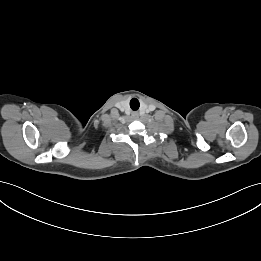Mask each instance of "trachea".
Here are the masks:
<instances>
[{
	"label": "trachea",
	"mask_w": 261,
	"mask_h": 261,
	"mask_svg": "<svg viewBox=\"0 0 261 261\" xmlns=\"http://www.w3.org/2000/svg\"><path fill=\"white\" fill-rule=\"evenodd\" d=\"M139 106H140L139 101L136 98L131 99L130 107L132 110H138Z\"/></svg>",
	"instance_id": "obj_1"
}]
</instances>
